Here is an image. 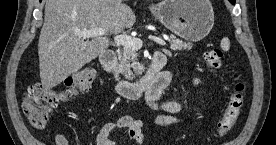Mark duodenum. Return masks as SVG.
<instances>
[{
  "label": "duodenum",
  "instance_id": "duodenum-1",
  "mask_svg": "<svg viewBox=\"0 0 276 145\" xmlns=\"http://www.w3.org/2000/svg\"><path fill=\"white\" fill-rule=\"evenodd\" d=\"M100 63L105 71L113 74L116 81L117 93L129 100H136L142 94L151 91L161 92L169 83L170 77L167 71H163L166 64V56L162 52H156L145 74L136 82L123 79L117 67L116 52L108 49L100 56Z\"/></svg>",
  "mask_w": 276,
  "mask_h": 145
}]
</instances>
